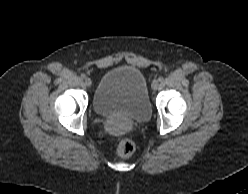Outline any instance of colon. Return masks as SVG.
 <instances>
[{
    "instance_id": "colon-1",
    "label": "colon",
    "mask_w": 248,
    "mask_h": 194,
    "mask_svg": "<svg viewBox=\"0 0 248 194\" xmlns=\"http://www.w3.org/2000/svg\"><path fill=\"white\" fill-rule=\"evenodd\" d=\"M134 149V143L130 139H121L115 145V152L121 157L130 156Z\"/></svg>"
}]
</instances>
